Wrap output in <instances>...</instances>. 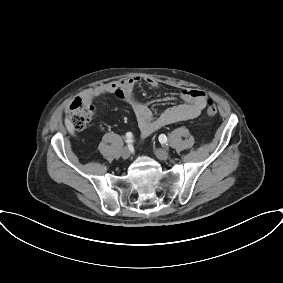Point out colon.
I'll return each instance as SVG.
<instances>
[{
  "label": "colon",
  "instance_id": "5ec220e1",
  "mask_svg": "<svg viewBox=\"0 0 283 283\" xmlns=\"http://www.w3.org/2000/svg\"><path fill=\"white\" fill-rule=\"evenodd\" d=\"M95 112V105L85 98H78L72 102L67 110V120L76 130H83L91 121ZM209 116L217 114V107L213 101H209L206 107Z\"/></svg>",
  "mask_w": 283,
  "mask_h": 283
}]
</instances>
